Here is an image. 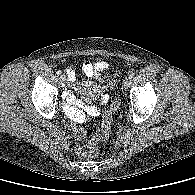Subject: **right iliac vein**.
I'll list each match as a JSON object with an SVG mask.
<instances>
[{
    "label": "right iliac vein",
    "mask_w": 195,
    "mask_h": 195,
    "mask_svg": "<svg viewBox=\"0 0 195 195\" xmlns=\"http://www.w3.org/2000/svg\"><path fill=\"white\" fill-rule=\"evenodd\" d=\"M59 80H60L61 86L64 87L65 84H66V77H65V75H61V76L59 77Z\"/></svg>",
    "instance_id": "right-iliac-vein-1"
}]
</instances>
